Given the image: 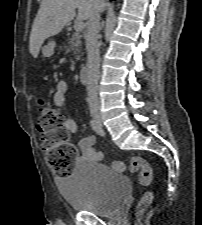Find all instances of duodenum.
<instances>
[{
  "mask_svg": "<svg viewBox=\"0 0 202 225\" xmlns=\"http://www.w3.org/2000/svg\"><path fill=\"white\" fill-rule=\"evenodd\" d=\"M81 78L84 83H89L90 80V67L85 64L81 67Z\"/></svg>",
  "mask_w": 202,
  "mask_h": 225,
  "instance_id": "410a0bca",
  "label": "duodenum"
}]
</instances>
